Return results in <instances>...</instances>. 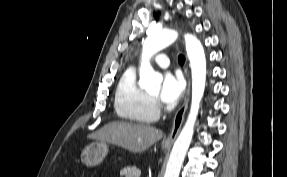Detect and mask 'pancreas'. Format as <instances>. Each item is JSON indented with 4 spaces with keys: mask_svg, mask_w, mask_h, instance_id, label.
Here are the masks:
<instances>
[{
    "mask_svg": "<svg viewBox=\"0 0 287 177\" xmlns=\"http://www.w3.org/2000/svg\"><path fill=\"white\" fill-rule=\"evenodd\" d=\"M141 171L137 169L136 167H127L123 168L120 171L121 177H140Z\"/></svg>",
    "mask_w": 287,
    "mask_h": 177,
    "instance_id": "cf45deb5",
    "label": "pancreas"
}]
</instances>
